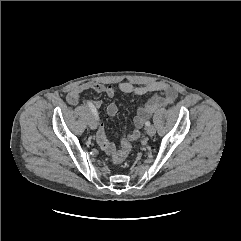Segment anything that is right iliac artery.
<instances>
[{
  "mask_svg": "<svg viewBox=\"0 0 241 241\" xmlns=\"http://www.w3.org/2000/svg\"><path fill=\"white\" fill-rule=\"evenodd\" d=\"M87 105L90 108V110L92 111V113L94 114V116L96 117V119H98V113H97L96 108L90 102H87Z\"/></svg>",
  "mask_w": 241,
  "mask_h": 241,
  "instance_id": "obj_1",
  "label": "right iliac artery"
}]
</instances>
